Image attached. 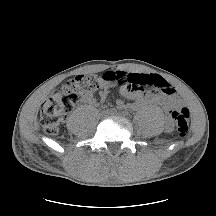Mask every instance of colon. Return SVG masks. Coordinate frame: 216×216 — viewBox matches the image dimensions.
Listing matches in <instances>:
<instances>
[{"instance_id":"1","label":"colon","mask_w":216,"mask_h":216,"mask_svg":"<svg viewBox=\"0 0 216 216\" xmlns=\"http://www.w3.org/2000/svg\"><path fill=\"white\" fill-rule=\"evenodd\" d=\"M118 75H109L108 81H102L101 76L96 75H80L67 81L44 102L40 112V122L43 128L50 134L57 133L63 118L73 110L79 101L92 98L98 91L104 89L109 82H115ZM169 116L176 127L178 136L186 137L190 122L188 108L185 106L174 107L169 111Z\"/></svg>"}]
</instances>
